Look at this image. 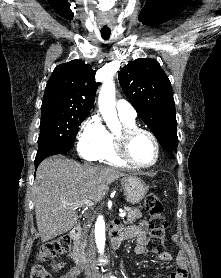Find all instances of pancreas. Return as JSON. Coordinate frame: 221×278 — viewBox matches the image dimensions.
<instances>
[{
  "instance_id": "pancreas-1",
  "label": "pancreas",
  "mask_w": 221,
  "mask_h": 278,
  "mask_svg": "<svg viewBox=\"0 0 221 278\" xmlns=\"http://www.w3.org/2000/svg\"><path fill=\"white\" fill-rule=\"evenodd\" d=\"M124 210L128 212L127 218L123 220L125 224H131L141 217L140 209H131L129 207H124ZM85 232L88 234L90 231L87 229ZM80 245L83 246V242Z\"/></svg>"
}]
</instances>
